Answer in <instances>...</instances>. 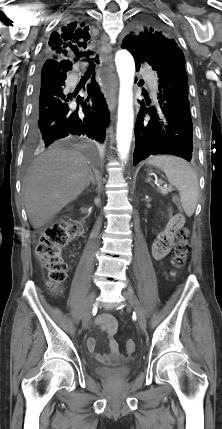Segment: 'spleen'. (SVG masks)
<instances>
[{
  "label": "spleen",
  "mask_w": 222,
  "mask_h": 429,
  "mask_svg": "<svg viewBox=\"0 0 222 429\" xmlns=\"http://www.w3.org/2000/svg\"><path fill=\"white\" fill-rule=\"evenodd\" d=\"M148 164L162 170L170 184L178 188L184 212L191 217L197 206L199 190L197 175L192 167L183 159L169 155L153 156Z\"/></svg>",
  "instance_id": "3e777b00"
}]
</instances>
